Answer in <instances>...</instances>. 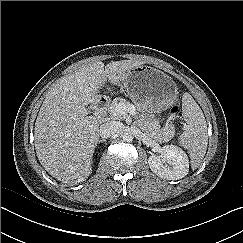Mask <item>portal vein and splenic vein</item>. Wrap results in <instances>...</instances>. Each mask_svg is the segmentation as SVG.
Instances as JSON below:
<instances>
[{
	"mask_svg": "<svg viewBox=\"0 0 243 243\" xmlns=\"http://www.w3.org/2000/svg\"><path fill=\"white\" fill-rule=\"evenodd\" d=\"M135 106L133 104L125 105L124 103H119L111 113L113 117H116L118 115L122 116L126 113H129L131 115L135 114Z\"/></svg>",
	"mask_w": 243,
	"mask_h": 243,
	"instance_id": "18ae733b",
	"label": "portal vein and splenic vein"
}]
</instances>
